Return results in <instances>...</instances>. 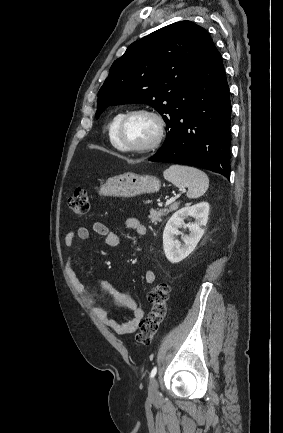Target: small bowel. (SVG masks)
<instances>
[{
  "label": "small bowel",
  "mask_w": 283,
  "mask_h": 433,
  "mask_svg": "<svg viewBox=\"0 0 283 433\" xmlns=\"http://www.w3.org/2000/svg\"><path fill=\"white\" fill-rule=\"evenodd\" d=\"M125 226L126 228L135 231L140 236H145L147 234L146 226L140 223L136 218H128L125 221ZM92 232L102 236L105 243L110 247H116L120 243V237L116 232L111 231L101 222H94L90 227H79L76 231L68 232L65 236L64 244L67 248H71L77 239L88 240L91 237ZM65 270L74 289L86 300L90 311L94 313L105 326L120 335L131 334L137 331L139 324L145 315V311L144 308L131 296L117 292V299L119 302L132 311L131 319L119 322L104 307L98 305L91 297L86 286L81 282L74 269L73 255L67 257ZM155 278L156 275L152 270H147L144 274V279L147 284H153ZM100 286L104 292H110L113 289L112 286L105 281H102Z\"/></svg>",
  "instance_id": "1"
}]
</instances>
